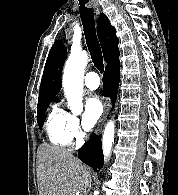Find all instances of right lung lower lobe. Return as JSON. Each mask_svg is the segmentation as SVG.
<instances>
[{
	"label": "right lung lower lobe",
	"instance_id": "obj_1",
	"mask_svg": "<svg viewBox=\"0 0 178 195\" xmlns=\"http://www.w3.org/2000/svg\"><path fill=\"white\" fill-rule=\"evenodd\" d=\"M120 64H116L106 68L103 75V92L104 96H109L112 100V107L116 101L118 92V84L120 81ZM78 157L85 164L91 166L95 171L99 172L103 167L104 158L101 145V135H93L90 140L78 151Z\"/></svg>",
	"mask_w": 178,
	"mask_h": 195
}]
</instances>
